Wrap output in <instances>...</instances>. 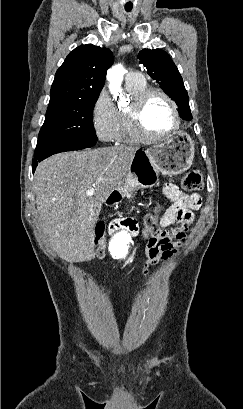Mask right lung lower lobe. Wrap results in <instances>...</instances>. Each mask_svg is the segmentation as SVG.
I'll use <instances>...</instances> for the list:
<instances>
[{
	"instance_id": "98d812e1",
	"label": "right lung lower lobe",
	"mask_w": 243,
	"mask_h": 409,
	"mask_svg": "<svg viewBox=\"0 0 243 409\" xmlns=\"http://www.w3.org/2000/svg\"><path fill=\"white\" fill-rule=\"evenodd\" d=\"M97 140L92 139H77L72 141H52V140H38L32 162L33 173L39 162L45 158L60 152L81 150L92 147Z\"/></svg>"
}]
</instances>
